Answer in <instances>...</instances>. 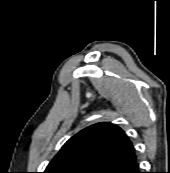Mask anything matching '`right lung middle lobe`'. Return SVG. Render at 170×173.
Masks as SVG:
<instances>
[{
  "instance_id": "obj_1",
  "label": "right lung middle lobe",
  "mask_w": 170,
  "mask_h": 173,
  "mask_svg": "<svg viewBox=\"0 0 170 173\" xmlns=\"http://www.w3.org/2000/svg\"><path fill=\"white\" fill-rule=\"evenodd\" d=\"M61 173H79V171L69 170V171H62Z\"/></svg>"
}]
</instances>
